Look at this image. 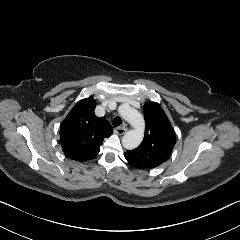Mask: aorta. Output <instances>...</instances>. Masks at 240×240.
I'll list each match as a JSON object with an SVG mask.
<instances>
[{
	"mask_svg": "<svg viewBox=\"0 0 240 240\" xmlns=\"http://www.w3.org/2000/svg\"><path fill=\"white\" fill-rule=\"evenodd\" d=\"M118 112L134 128L126 132L122 137L123 147L133 150L141 144L144 137L145 122L143 116L135 108L124 105L119 107Z\"/></svg>",
	"mask_w": 240,
	"mask_h": 240,
	"instance_id": "aorta-1",
	"label": "aorta"
}]
</instances>
